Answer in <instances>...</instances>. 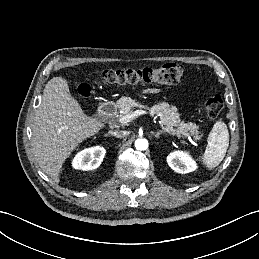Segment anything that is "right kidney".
Wrapping results in <instances>:
<instances>
[{"label":"right kidney","mask_w":259,"mask_h":259,"mask_svg":"<svg viewBox=\"0 0 259 259\" xmlns=\"http://www.w3.org/2000/svg\"><path fill=\"white\" fill-rule=\"evenodd\" d=\"M105 153L106 150L100 146L86 148L75 155L72 166L83 171L96 169L103 161Z\"/></svg>","instance_id":"ca27d5eb"}]
</instances>
